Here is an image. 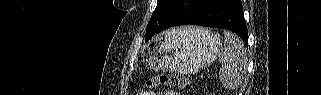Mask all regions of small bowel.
I'll return each instance as SVG.
<instances>
[{"label":"small bowel","instance_id":"c3829d8e","mask_svg":"<svg viewBox=\"0 0 321 95\" xmlns=\"http://www.w3.org/2000/svg\"><path fill=\"white\" fill-rule=\"evenodd\" d=\"M169 94H172V93H166V95H169Z\"/></svg>","mask_w":321,"mask_h":95}]
</instances>
